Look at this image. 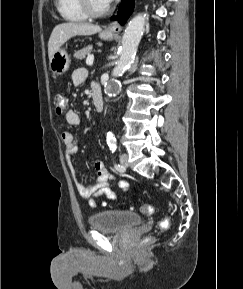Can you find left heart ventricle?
Wrapping results in <instances>:
<instances>
[{
  "label": "left heart ventricle",
  "instance_id": "left-heart-ventricle-1",
  "mask_svg": "<svg viewBox=\"0 0 243 289\" xmlns=\"http://www.w3.org/2000/svg\"><path fill=\"white\" fill-rule=\"evenodd\" d=\"M91 3L92 6L97 10H101L107 6V4L103 2V0H91Z\"/></svg>",
  "mask_w": 243,
  "mask_h": 289
}]
</instances>
